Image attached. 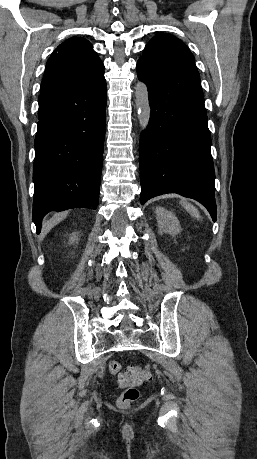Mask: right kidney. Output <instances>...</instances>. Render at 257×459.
<instances>
[{
	"label": "right kidney",
	"instance_id": "right-kidney-1",
	"mask_svg": "<svg viewBox=\"0 0 257 459\" xmlns=\"http://www.w3.org/2000/svg\"><path fill=\"white\" fill-rule=\"evenodd\" d=\"M78 241V236L76 233H73L69 239V242L70 243H74V242H77Z\"/></svg>",
	"mask_w": 257,
	"mask_h": 459
}]
</instances>
